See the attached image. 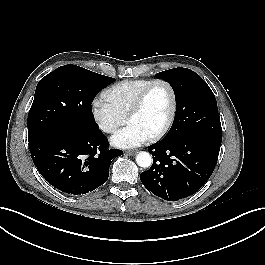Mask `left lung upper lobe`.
<instances>
[{
  "mask_svg": "<svg viewBox=\"0 0 265 265\" xmlns=\"http://www.w3.org/2000/svg\"><path fill=\"white\" fill-rule=\"evenodd\" d=\"M169 82L176 97V114L163 140L186 134H199L222 141V128L216 98L207 83L187 68H174L156 74Z\"/></svg>",
  "mask_w": 265,
  "mask_h": 265,
  "instance_id": "1",
  "label": "left lung upper lobe"
}]
</instances>
